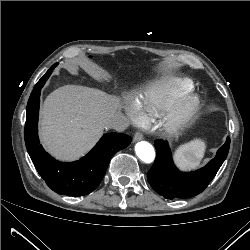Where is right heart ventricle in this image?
I'll use <instances>...</instances> for the list:
<instances>
[{
	"mask_svg": "<svg viewBox=\"0 0 250 250\" xmlns=\"http://www.w3.org/2000/svg\"><path fill=\"white\" fill-rule=\"evenodd\" d=\"M193 87L184 77H165L149 83L137 99L144 120L156 117L173 107L179 97Z\"/></svg>",
	"mask_w": 250,
	"mask_h": 250,
	"instance_id": "e07e8e85",
	"label": "right heart ventricle"
}]
</instances>
